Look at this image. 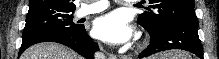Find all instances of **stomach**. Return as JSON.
I'll use <instances>...</instances> for the list:
<instances>
[{
    "mask_svg": "<svg viewBox=\"0 0 219 59\" xmlns=\"http://www.w3.org/2000/svg\"><path fill=\"white\" fill-rule=\"evenodd\" d=\"M169 55V54H168ZM167 54L166 55H161V56H156V59H167Z\"/></svg>",
    "mask_w": 219,
    "mask_h": 59,
    "instance_id": "1",
    "label": "stomach"
}]
</instances>
